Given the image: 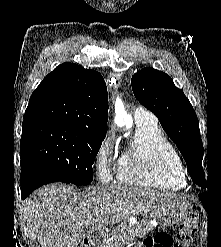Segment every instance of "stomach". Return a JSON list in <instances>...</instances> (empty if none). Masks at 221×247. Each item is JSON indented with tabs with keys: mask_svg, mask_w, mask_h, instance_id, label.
<instances>
[{
	"mask_svg": "<svg viewBox=\"0 0 221 247\" xmlns=\"http://www.w3.org/2000/svg\"><path fill=\"white\" fill-rule=\"evenodd\" d=\"M191 205L182 198L176 197L158 207L154 212V219L164 228L179 223L190 213Z\"/></svg>",
	"mask_w": 221,
	"mask_h": 247,
	"instance_id": "stomach-1",
	"label": "stomach"
}]
</instances>
